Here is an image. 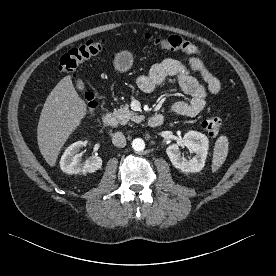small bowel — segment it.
I'll use <instances>...</instances> for the list:
<instances>
[{"label": "small bowel", "instance_id": "small-bowel-1", "mask_svg": "<svg viewBox=\"0 0 276 276\" xmlns=\"http://www.w3.org/2000/svg\"><path fill=\"white\" fill-rule=\"evenodd\" d=\"M167 78L176 79L180 88L189 96L187 100L177 99L171 103L170 112L178 116L199 114L206 106L207 96L217 95L221 90L220 81L196 57H188L185 61L167 58L139 76L137 85L143 92L150 93Z\"/></svg>", "mask_w": 276, "mask_h": 276}]
</instances>
